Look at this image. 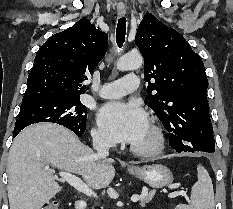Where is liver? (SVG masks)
Wrapping results in <instances>:
<instances>
[{
	"mask_svg": "<svg viewBox=\"0 0 233 209\" xmlns=\"http://www.w3.org/2000/svg\"><path fill=\"white\" fill-rule=\"evenodd\" d=\"M113 162L94 153L62 126L32 125L20 132L9 151L10 209H41L61 191L49 166L78 174L90 188L98 190L112 182Z\"/></svg>",
	"mask_w": 233,
	"mask_h": 209,
	"instance_id": "obj_1",
	"label": "liver"
}]
</instances>
